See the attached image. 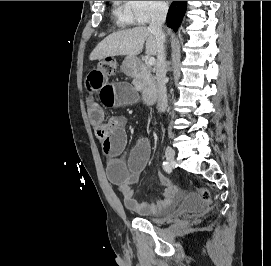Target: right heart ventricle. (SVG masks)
Masks as SVG:
<instances>
[{"label":"right heart ventricle","instance_id":"1","mask_svg":"<svg viewBox=\"0 0 271 266\" xmlns=\"http://www.w3.org/2000/svg\"><path fill=\"white\" fill-rule=\"evenodd\" d=\"M113 13L117 20L122 24H129L132 22L125 1H114Z\"/></svg>","mask_w":271,"mask_h":266}]
</instances>
